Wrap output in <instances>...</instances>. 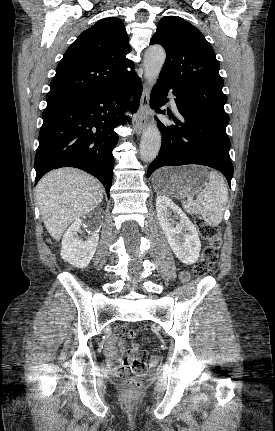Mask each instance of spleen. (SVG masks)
<instances>
[{"label": "spleen", "instance_id": "3e777b00", "mask_svg": "<svg viewBox=\"0 0 275 431\" xmlns=\"http://www.w3.org/2000/svg\"><path fill=\"white\" fill-rule=\"evenodd\" d=\"M228 201V189L224 179L215 171L209 173V182L193 202L183 201L184 209L191 214H199L209 226L221 223Z\"/></svg>", "mask_w": 275, "mask_h": 431}]
</instances>
